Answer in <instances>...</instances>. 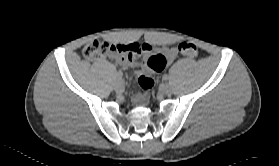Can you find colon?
<instances>
[{
    "label": "colon",
    "mask_w": 279,
    "mask_h": 166,
    "mask_svg": "<svg viewBox=\"0 0 279 166\" xmlns=\"http://www.w3.org/2000/svg\"><path fill=\"white\" fill-rule=\"evenodd\" d=\"M178 51L182 56L194 58L198 55V48L191 42H181L178 45ZM143 46L138 43L129 45L113 44L102 41H94L86 45L82 51L83 57L87 60H97L105 55L113 54L120 57H130L134 54H140ZM163 65V59L158 54L150 55L145 61L146 70L139 75L138 84L141 91L149 92L154 81L151 72H157Z\"/></svg>",
    "instance_id": "1"
}]
</instances>
